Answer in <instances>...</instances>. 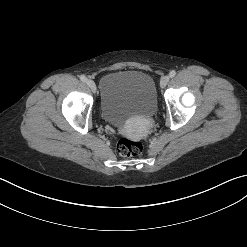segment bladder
I'll use <instances>...</instances> for the list:
<instances>
[{
  "instance_id": "bladder-1",
  "label": "bladder",
  "mask_w": 247,
  "mask_h": 247,
  "mask_svg": "<svg viewBox=\"0 0 247 247\" xmlns=\"http://www.w3.org/2000/svg\"><path fill=\"white\" fill-rule=\"evenodd\" d=\"M103 119L124 127L135 117H152L157 109V93L151 76L140 71H120L99 81Z\"/></svg>"
}]
</instances>
